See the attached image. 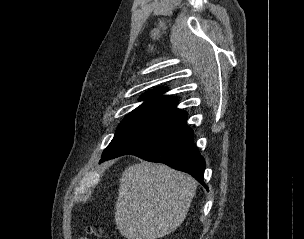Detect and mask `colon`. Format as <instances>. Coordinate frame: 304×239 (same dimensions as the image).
I'll return each mask as SVG.
<instances>
[{
	"mask_svg": "<svg viewBox=\"0 0 304 239\" xmlns=\"http://www.w3.org/2000/svg\"><path fill=\"white\" fill-rule=\"evenodd\" d=\"M88 231L90 233H93V234L97 235V236H101L102 235V231L99 228L89 227Z\"/></svg>",
	"mask_w": 304,
	"mask_h": 239,
	"instance_id": "obj_1",
	"label": "colon"
}]
</instances>
